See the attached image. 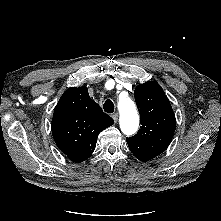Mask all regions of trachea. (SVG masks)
Here are the masks:
<instances>
[{
    "label": "trachea",
    "mask_w": 221,
    "mask_h": 221,
    "mask_svg": "<svg viewBox=\"0 0 221 221\" xmlns=\"http://www.w3.org/2000/svg\"><path fill=\"white\" fill-rule=\"evenodd\" d=\"M103 109L106 113H113L114 112L113 102L110 99L106 100L103 105Z\"/></svg>",
    "instance_id": "obj_1"
}]
</instances>
